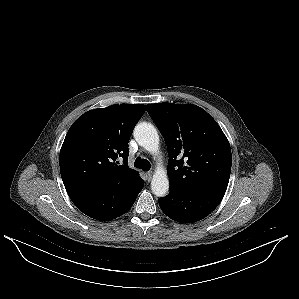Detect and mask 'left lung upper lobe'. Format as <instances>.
Here are the masks:
<instances>
[{
  "label": "left lung upper lobe",
  "instance_id": "1",
  "mask_svg": "<svg viewBox=\"0 0 299 299\" xmlns=\"http://www.w3.org/2000/svg\"><path fill=\"white\" fill-rule=\"evenodd\" d=\"M147 112L167 144L170 189L225 193L232 155L217 122L204 109L192 104H148Z\"/></svg>",
  "mask_w": 299,
  "mask_h": 299
}]
</instances>
